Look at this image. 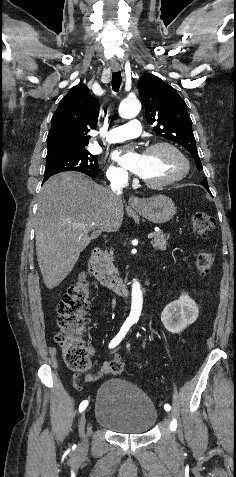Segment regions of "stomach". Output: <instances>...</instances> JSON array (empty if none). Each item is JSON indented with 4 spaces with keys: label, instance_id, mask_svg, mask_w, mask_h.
I'll use <instances>...</instances> for the list:
<instances>
[{
    "label": "stomach",
    "instance_id": "obj_1",
    "mask_svg": "<svg viewBox=\"0 0 236 477\" xmlns=\"http://www.w3.org/2000/svg\"><path fill=\"white\" fill-rule=\"evenodd\" d=\"M135 209L141 216L154 224H163L170 221L176 213L173 201L165 195H157L143 200Z\"/></svg>",
    "mask_w": 236,
    "mask_h": 477
}]
</instances>
